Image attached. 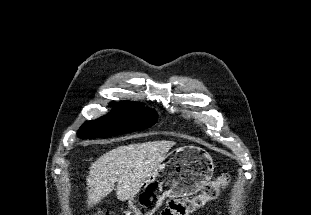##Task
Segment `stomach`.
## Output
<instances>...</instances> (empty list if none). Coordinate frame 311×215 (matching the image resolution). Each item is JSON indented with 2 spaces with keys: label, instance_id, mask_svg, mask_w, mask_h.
Instances as JSON below:
<instances>
[{
  "label": "stomach",
  "instance_id": "1",
  "mask_svg": "<svg viewBox=\"0 0 311 215\" xmlns=\"http://www.w3.org/2000/svg\"><path fill=\"white\" fill-rule=\"evenodd\" d=\"M213 171V160L206 150L197 146L177 148L129 199V208L136 215H152L166 197L196 194L209 182Z\"/></svg>",
  "mask_w": 311,
  "mask_h": 215
}]
</instances>
